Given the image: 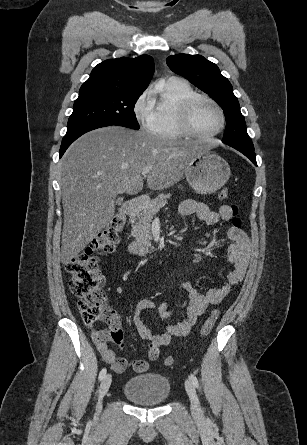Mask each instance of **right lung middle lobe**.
Returning <instances> with one entry per match:
<instances>
[{"instance_id": "right-lung-middle-lobe-1", "label": "right lung middle lobe", "mask_w": 307, "mask_h": 445, "mask_svg": "<svg viewBox=\"0 0 307 445\" xmlns=\"http://www.w3.org/2000/svg\"><path fill=\"white\" fill-rule=\"evenodd\" d=\"M139 96L93 94L79 96L73 105L67 131L93 125H117L139 129L134 105Z\"/></svg>"}]
</instances>
